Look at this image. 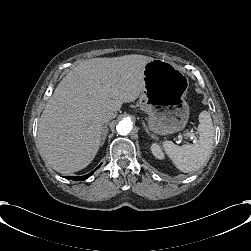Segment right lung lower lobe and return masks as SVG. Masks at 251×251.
I'll list each match as a JSON object with an SVG mask.
<instances>
[{
	"mask_svg": "<svg viewBox=\"0 0 251 251\" xmlns=\"http://www.w3.org/2000/svg\"><path fill=\"white\" fill-rule=\"evenodd\" d=\"M99 166L97 168H99ZM95 170H93L92 172H90L89 174L84 175V176H65V178L70 179V180H74V181L85 180V179L89 178L95 172Z\"/></svg>",
	"mask_w": 251,
	"mask_h": 251,
	"instance_id": "98d812e1",
	"label": "right lung lower lobe"
}]
</instances>
